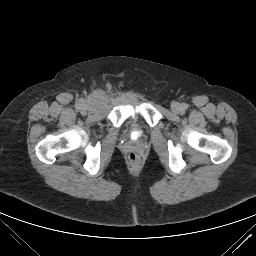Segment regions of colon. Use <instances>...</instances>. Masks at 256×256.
<instances>
[{"label":"colon","instance_id":"5ec220e1","mask_svg":"<svg viewBox=\"0 0 256 256\" xmlns=\"http://www.w3.org/2000/svg\"><path fill=\"white\" fill-rule=\"evenodd\" d=\"M128 161L131 165H139L140 163V156L136 153H130L128 156Z\"/></svg>","mask_w":256,"mask_h":256}]
</instances>
